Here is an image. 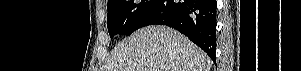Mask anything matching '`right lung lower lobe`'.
<instances>
[{"instance_id": "right-lung-lower-lobe-1", "label": "right lung lower lobe", "mask_w": 301, "mask_h": 71, "mask_svg": "<svg viewBox=\"0 0 301 71\" xmlns=\"http://www.w3.org/2000/svg\"><path fill=\"white\" fill-rule=\"evenodd\" d=\"M216 0H157L140 28L161 24L170 26L203 49L215 62Z\"/></svg>"}]
</instances>
